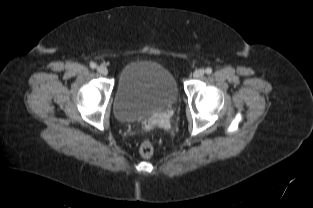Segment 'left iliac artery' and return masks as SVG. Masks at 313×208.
Wrapping results in <instances>:
<instances>
[{
	"label": "left iliac artery",
	"mask_w": 313,
	"mask_h": 208,
	"mask_svg": "<svg viewBox=\"0 0 313 208\" xmlns=\"http://www.w3.org/2000/svg\"><path fill=\"white\" fill-rule=\"evenodd\" d=\"M205 71H206L207 74H211L212 73V68L208 67V68H206Z\"/></svg>",
	"instance_id": "44dca946"
}]
</instances>
